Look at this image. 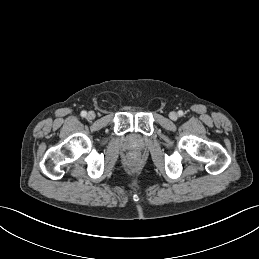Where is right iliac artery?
<instances>
[{"mask_svg": "<svg viewBox=\"0 0 259 259\" xmlns=\"http://www.w3.org/2000/svg\"><path fill=\"white\" fill-rule=\"evenodd\" d=\"M81 116H82V117H86V116H87V112H86V111H82V112H81Z\"/></svg>", "mask_w": 259, "mask_h": 259, "instance_id": "obj_1", "label": "right iliac artery"}]
</instances>
